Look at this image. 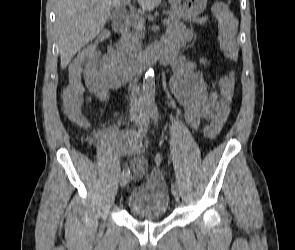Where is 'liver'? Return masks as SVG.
Instances as JSON below:
<instances>
[{
	"label": "liver",
	"mask_w": 295,
	"mask_h": 250,
	"mask_svg": "<svg viewBox=\"0 0 295 250\" xmlns=\"http://www.w3.org/2000/svg\"><path fill=\"white\" fill-rule=\"evenodd\" d=\"M124 0H56V33L62 69L74 55L103 30L113 7ZM143 11L155 9L162 0H137ZM141 12V10H139Z\"/></svg>",
	"instance_id": "liver-1"
}]
</instances>
